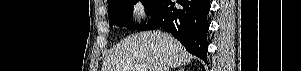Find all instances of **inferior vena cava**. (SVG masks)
<instances>
[{
	"label": "inferior vena cava",
	"mask_w": 301,
	"mask_h": 71,
	"mask_svg": "<svg viewBox=\"0 0 301 71\" xmlns=\"http://www.w3.org/2000/svg\"><path fill=\"white\" fill-rule=\"evenodd\" d=\"M164 71H168V67H165Z\"/></svg>",
	"instance_id": "602c4592"
}]
</instances>
